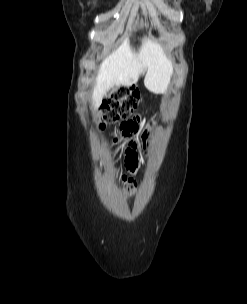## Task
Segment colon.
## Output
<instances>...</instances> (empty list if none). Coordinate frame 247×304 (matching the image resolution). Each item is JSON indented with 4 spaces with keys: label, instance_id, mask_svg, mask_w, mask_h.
<instances>
[{
    "label": "colon",
    "instance_id": "1",
    "mask_svg": "<svg viewBox=\"0 0 247 304\" xmlns=\"http://www.w3.org/2000/svg\"><path fill=\"white\" fill-rule=\"evenodd\" d=\"M138 102L139 94L135 90L125 86L119 87L112 95V98L103 106L102 110L100 111L98 116L99 127L104 128L108 124L115 123L123 118H127V113L134 112L138 105ZM132 120H135L136 122L138 120L145 121V119L142 118ZM147 133L149 134V132ZM139 145H142V143H139ZM118 179L128 194H132L134 192L135 185L131 178H127V176L122 175L119 176Z\"/></svg>",
    "mask_w": 247,
    "mask_h": 304
}]
</instances>
